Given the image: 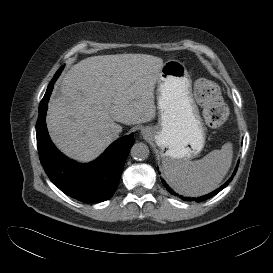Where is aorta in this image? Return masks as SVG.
I'll return each instance as SVG.
<instances>
[{
  "mask_svg": "<svg viewBox=\"0 0 273 273\" xmlns=\"http://www.w3.org/2000/svg\"><path fill=\"white\" fill-rule=\"evenodd\" d=\"M130 154L136 160H145L149 156V148L144 143H136L131 147Z\"/></svg>",
  "mask_w": 273,
  "mask_h": 273,
  "instance_id": "762f6f07",
  "label": "aorta"
}]
</instances>
